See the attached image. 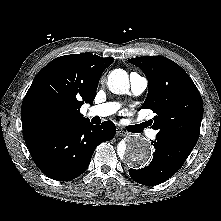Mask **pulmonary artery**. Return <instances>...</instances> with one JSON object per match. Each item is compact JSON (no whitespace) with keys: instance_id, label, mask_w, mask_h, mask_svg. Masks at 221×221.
<instances>
[{"instance_id":"e3ab8cb5","label":"pulmonary artery","mask_w":221,"mask_h":221,"mask_svg":"<svg viewBox=\"0 0 221 221\" xmlns=\"http://www.w3.org/2000/svg\"><path fill=\"white\" fill-rule=\"evenodd\" d=\"M131 92L134 96H140L148 86V80L143 75L132 72L129 76ZM120 105L116 102H107L96 105L90 108V116L106 117L114 114ZM157 132L155 130H148L147 136L154 138Z\"/></svg>"}]
</instances>
